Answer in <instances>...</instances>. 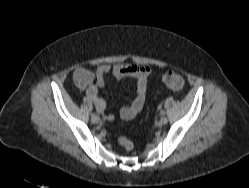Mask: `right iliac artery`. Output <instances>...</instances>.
<instances>
[{"label":"right iliac artery","mask_w":249,"mask_h":188,"mask_svg":"<svg viewBox=\"0 0 249 188\" xmlns=\"http://www.w3.org/2000/svg\"><path fill=\"white\" fill-rule=\"evenodd\" d=\"M95 116V113H91V117H94Z\"/></svg>","instance_id":"82829eb1"}]
</instances>
